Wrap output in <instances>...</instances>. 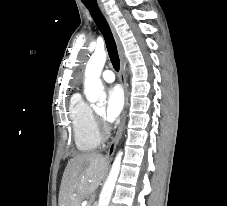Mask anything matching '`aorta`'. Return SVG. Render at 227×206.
<instances>
[{
    "instance_id": "1",
    "label": "aorta",
    "mask_w": 227,
    "mask_h": 206,
    "mask_svg": "<svg viewBox=\"0 0 227 206\" xmlns=\"http://www.w3.org/2000/svg\"><path fill=\"white\" fill-rule=\"evenodd\" d=\"M106 58L107 54L104 50H96L86 65L84 94L87 100L91 103L98 102L102 105L105 102L106 94L100 76L106 62ZM121 158L122 152H118L100 194L98 206L109 205L120 172Z\"/></svg>"
}]
</instances>
